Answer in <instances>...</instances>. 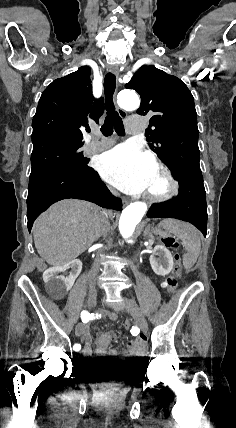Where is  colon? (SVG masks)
Wrapping results in <instances>:
<instances>
[{
    "mask_svg": "<svg viewBox=\"0 0 236 428\" xmlns=\"http://www.w3.org/2000/svg\"><path fill=\"white\" fill-rule=\"evenodd\" d=\"M164 243L167 247H169L171 249H175L179 245L177 239L174 238L173 236L166 237L164 239ZM174 260H175V266H174V269L172 271V274L170 276H168L167 279L164 281V287L169 293L174 292V290L177 286L178 280H179L180 276L182 275V266L180 263L179 256L175 255ZM124 326L126 328H129L130 323L128 321H126Z\"/></svg>",
    "mask_w": 236,
    "mask_h": 428,
    "instance_id": "colon-1",
    "label": "colon"
}]
</instances>
